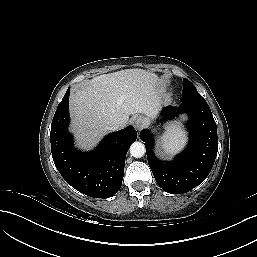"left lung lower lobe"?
<instances>
[{"mask_svg":"<svg viewBox=\"0 0 257 257\" xmlns=\"http://www.w3.org/2000/svg\"><path fill=\"white\" fill-rule=\"evenodd\" d=\"M184 112L189 115L190 140L173 161L157 159L153 153V135L149 130L140 133L157 184L172 194L189 192L202 183L210 173L218 151L217 126L207 102L184 101L177 109L168 106L161 113V121Z\"/></svg>","mask_w":257,"mask_h":257,"instance_id":"1","label":"left lung lower lobe"}]
</instances>
